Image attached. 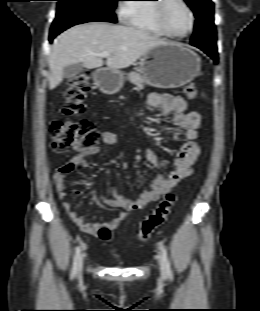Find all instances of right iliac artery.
I'll return each instance as SVG.
<instances>
[{
  "mask_svg": "<svg viewBox=\"0 0 260 311\" xmlns=\"http://www.w3.org/2000/svg\"><path fill=\"white\" fill-rule=\"evenodd\" d=\"M80 252H81V246H77L75 249V254H74V259H73L71 278H74L77 274V267H78V260L80 257Z\"/></svg>",
  "mask_w": 260,
  "mask_h": 311,
  "instance_id": "1",
  "label": "right iliac artery"
}]
</instances>
